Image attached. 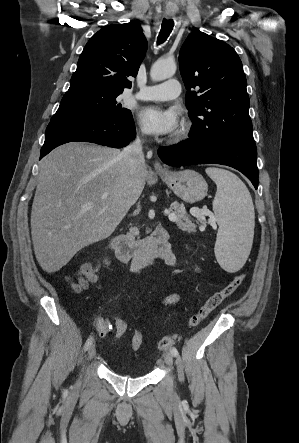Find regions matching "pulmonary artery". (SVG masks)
Returning a JSON list of instances; mask_svg holds the SVG:
<instances>
[{"label": "pulmonary artery", "instance_id": "pulmonary-artery-1", "mask_svg": "<svg viewBox=\"0 0 299 443\" xmlns=\"http://www.w3.org/2000/svg\"><path fill=\"white\" fill-rule=\"evenodd\" d=\"M181 93V86L178 80L169 79L164 83L142 86L136 97L140 100L166 101L177 98Z\"/></svg>", "mask_w": 299, "mask_h": 443}]
</instances>
